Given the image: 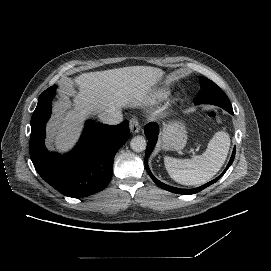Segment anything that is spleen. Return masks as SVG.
I'll list each match as a JSON object with an SVG mask.
<instances>
[{
  "mask_svg": "<svg viewBox=\"0 0 271 271\" xmlns=\"http://www.w3.org/2000/svg\"><path fill=\"white\" fill-rule=\"evenodd\" d=\"M230 146L229 135L216 131L210 138L202 155L180 160L165 156L166 170L172 179L185 185H200L207 182L223 165Z\"/></svg>",
  "mask_w": 271,
  "mask_h": 271,
  "instance_id": "1",
  "label": "spleen"
}]
</instances>
